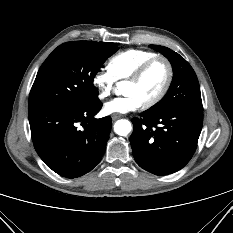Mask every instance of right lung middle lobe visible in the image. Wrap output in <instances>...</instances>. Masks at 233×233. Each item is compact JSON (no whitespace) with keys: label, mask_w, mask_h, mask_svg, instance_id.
Here are the masks:
<instances>
[{"label":"right lung middle lobe","mask_w":233,"mask_h":233,"mask_svg":"<svg viewBox=\"0 0 233 233\" xmlns=\"http://www.w3.org/2000/svg\"><path fill=\"white\" fill-rule=\"evenodd\" d=\"M116 43L75 41L58 46L40 67L29 95L28 111L76 108L94 100V77L118 50Z\"/></svg>","instance_id":"obj_1"}]
</instances>
